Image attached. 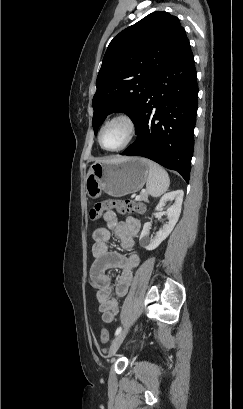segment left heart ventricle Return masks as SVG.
Returning a JSON list of instances; mask_svg holds the SVG:
<instances>
[{
  "label": "left heart ventricle",
  "instance_id": "left-heart-ventricle-1",
  "mask_svg": "<svg viewBox=\"0 0 243 409\" xmlns=\"http://www.w3.org/2000/svg\"><path fill=\"white\" fill-rule=\"evenodd\" d=\"M127 134L126 125L121 122H116L105 127L102 132L101 140L106 148L114 149L124 143Z\"/></svg>",
  "mask_w": 243,
  "mask_h": 409
}]
</instances>
